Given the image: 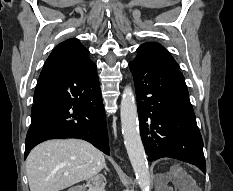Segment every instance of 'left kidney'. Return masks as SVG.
Masks as SVG:
<instances>
[{
  "instance_id": "1",
  "label": "left kidney",
  "mask_w": 233,
  "mask_h": 191,
  "mask_svg": "<svg viewBox=\"0 0 233 191\" xmlns=\"http://www.w3.org/2000/svg\"><path fill=\"white\" fill-rule=\"evenodd\" d=\"M172 178L176 181V183H177L179 186H182V181H181V179H180L179 176H177V175H174L173 177H172V176H168V177H167V181L170 180V179H172ZM167 191H170V189H167ZM182 191H185V190H182Z\"/></svg>"
}]
</instances>
